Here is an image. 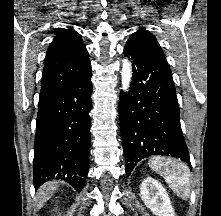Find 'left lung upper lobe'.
<instances>
[{"instance_id": "5c2ea615", "label": "left lung upper lobe", "mask_w": 221, "mask_h": 216, "mask_svg": "<svg viewBox=\"0 0 221 216\" xmlns=\"http://www.w3.org/2000/svg\"><path fill=\"white\" fill-rule=\"evenodd\" d=\"M127 43L136 44L151 53L164 57V53L154 35L143 28L133 33Z\"/></svg>"}]
</instances>
